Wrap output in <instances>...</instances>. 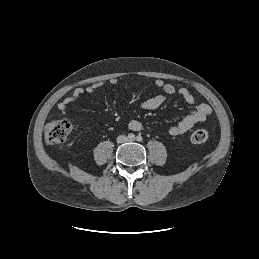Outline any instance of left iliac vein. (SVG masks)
<instances>
[{"mask_svg": "<svg viewBox=\"0 0 259 259\" xmlns=\"http://www.w3.org/2000/svg\"><path fill=\"white\" fill-rule=\"evenodd\" d=\"M128 141H133V139H128Z\"/></svg>", "mask_w": 259, "mask_h": 259, "instance_id": "left-iliac-vein-1", "label": "left iliac vein"}]
</instances>
